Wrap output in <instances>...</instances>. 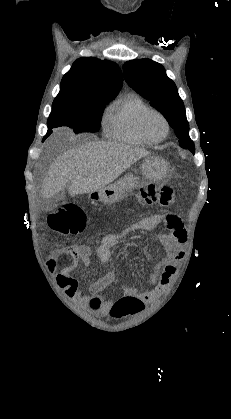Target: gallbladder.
I'll return each instance as SVG.
<instances>
[{
	"mask_svg": "<svg viewBox=\"0 0 231 419\" xmlns=\"http://www.w3.org/2000/svg\"><path fill=\"white\" fill-rule=\"evenodd\" d=\"M62 199H64V194L63 193H59V194H57L53 197L54 201H59V200H62Z\"/></svg>",
	"mask_w": 231,
	"mask_h": 419,
	"instance_id": "gallbladder-1",
	"label": "gallbladder"
}]
</instances>
